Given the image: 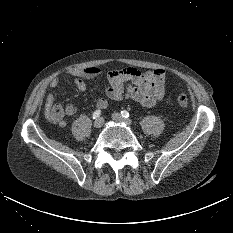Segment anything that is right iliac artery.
<instances>
[{
    "label": "right iliac artery",
    "instance_id": "82829eb1",
    "mask_svg": "<svg viewBox=\"0 0 233 233\" xmlns=\"http://www.w3.org/2000/svg\"><path fill=\"white\" fill-rule=\"evenodd\" d=\"M100 115H101V111H100V110H96V111L93 113V119L99 118Z\"/></svg>",
    "mask_w": 233,
    "mask_h": 233
}]
</instances>
